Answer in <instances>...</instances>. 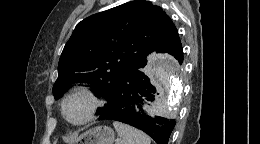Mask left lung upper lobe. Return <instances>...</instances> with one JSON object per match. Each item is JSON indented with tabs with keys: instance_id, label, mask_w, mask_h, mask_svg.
<instances>
[{
	"instance_id": "5c2ea615",
	"label": "left lung upper lobe",
	"mask_w": 260,
	"mask_h": 144,
	"mask_svg": "<svg viewBox=\"0 0 260 144\" xmlns=\"http://www.w3.org/2000/svg\"><path fill=\"white\" fill-rule=\"evenodd\" d=\"M178 36L170 17L149 1H131L91 15L77 24L66 43L53 86L61 97L75 82L91 83L107 100L105 111L125 72Z\"/></svg>"
}]
</instances>
